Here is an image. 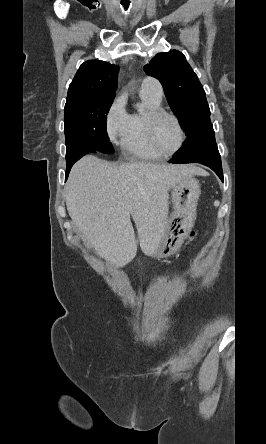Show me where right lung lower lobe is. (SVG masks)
<instances>
[{
    "instance_id": "obj_1",
    "label": "right lung lower lobe",
    "mask_w": 266,
    "mask_h": 444,
    "mask_svg": "<svg viewBox=\"0 0 266 444\" xmlns=\"http://www.w3.org/2000/svg\"><path fill=\"white\" fill-rule=\"evenodd\" d=\"M87 153H98V152L93 151V152H87ZM87 153H86V154H87ZM84 155H85V154L81 155V157L84 156ZM81 157H80V158H81ZM80 158L75 159V160H73V161L67 163L66 179H67V177H68V175H69V172H70V170H71L73 164H74L76 161H78Z\"/></svg>"
}]
</instances>
